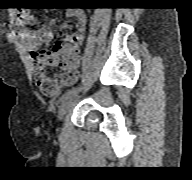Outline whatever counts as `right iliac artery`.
<instances>
[{"instance_id": "obj_1", "label": "right iliac artery", "mask_w": 192, "mask_h": 180, "mask_svg": "<svg viewBox=\"0 0 192 180\" xmlns=\"http://www.w3.org/2000/svg\"><path fill=\"white\" fill-rule=\"evenodd\" d=\"M80 89H81V88L77 87V88H73V89H71V90H68L67 92H65V93L61 96L60 102L63 103L64 101H66V100H68V99L76 96L77 93L80 91Z\"/></svg>"}]
</instances>
